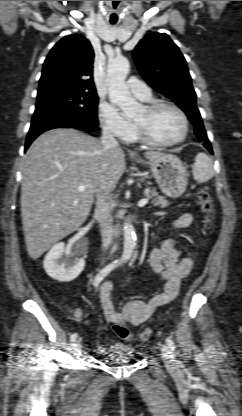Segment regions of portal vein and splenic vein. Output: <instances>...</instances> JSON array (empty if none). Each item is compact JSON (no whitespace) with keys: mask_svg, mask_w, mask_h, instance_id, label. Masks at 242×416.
<instances>
[{"mask_svg":"<svg viewBox=\"0 0 242 416\" xmlns=\"http://www.w3.org/2000/svg\"><path fill=\"white\" fill-rule=\"evenodd\" d=\"M78 190H79L80 192L85 191V186H83V185L79 186V187H78ZM147 203H148V199H147V198H143V199H141V200L138 202V206H139V207H143V206H145Z\"/></svg>","mask_w":242,"mask_h":416,"instance_id":"portal-vein-and-splenic-vein-1","label":"portal vein and splenic vein"}]
</instances>
